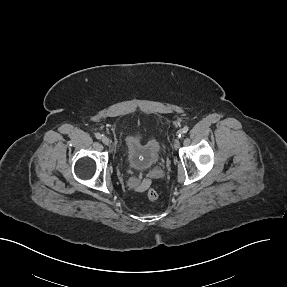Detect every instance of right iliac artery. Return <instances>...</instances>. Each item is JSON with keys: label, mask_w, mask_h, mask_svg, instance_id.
Segmentation results:
<instances>
[{"label": "right iliac artery", "mask_w": 287, "mask_h": 287, "mask_svg": "<svg viewBox=\"0 0 287 287\" xmlns=\"http://www.w3.org/2000/svg\"><path fill=\"white\" fill-rule=\"evenodd\" d=\"M102 136H103V135H101L100 133H96V134H95V137H96L97 139H101Z\"/></svg>", "instance_id": "1"}]
</instances>
